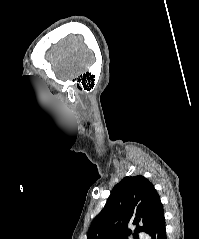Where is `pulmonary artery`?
Instances as JSON below:
<instances>
[{
	"label": "pulmonary artery",
	"mask_w": 199,
	"mask_h": 239,
	"mask_svg": "<svg viewBox=\"0 0 199 239\" xmlns=\"http://www.w3.org/2000/svg\"><path fill=\"white\" fill-rule=\"evenodd\" d=\"M138 235L140 236L141 239H149L146 233L144 232H139Z\"/></svg>",
	"instance_id": "obj_1"
}]
</instances>
